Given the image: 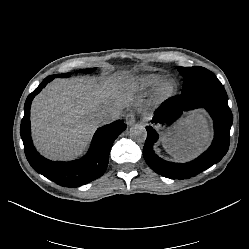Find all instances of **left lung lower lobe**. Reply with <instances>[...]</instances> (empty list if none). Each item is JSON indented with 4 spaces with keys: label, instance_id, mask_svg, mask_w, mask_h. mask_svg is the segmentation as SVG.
I'll use <instances>...</instances> for the list:
<instances>
[{
    "label": "left lung lower lobe",
    "instance_id": "obj_1",
    "mask_svg": "<svg viewBox=\"0 0 249 249\" xmlns=\"http://www.w3.org/2000/svg\"><path fill=\"white\" fill-rule=\"evenodd\" d=\"M204 108L214 121V139L211 146L198 158L187 163H173L159 158L153 151L158 134L147 126L143 148L146 163L156 173L171 179H189L219 162L226 154L230 142L233 115L228 96L222 85H209L167 99L155 111L153 122L171 124L183 111Z\"/></svg>",
    "mask_w": 249,
    "mask_h": 249
}]
</instances>
